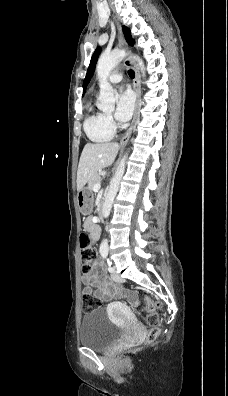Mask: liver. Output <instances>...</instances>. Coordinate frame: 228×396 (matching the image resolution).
I'll return each mask as SVG.
<instances>
[{"mask_svg": "<svg viewBox=\"0 0 228 396\" xmlns=\"http://www.w3.org/2000/svg\"><path fill=\"white\" fill-rule=\"evenodd\" d=\"M120 146L116 142L87 143L81 153L77 171V191L102 168L113 164Z\"/></svg>", "mask_w": 228, "mask_h": 396, "instance_id": "liver-1", "label": "liver"}]
</instances>
